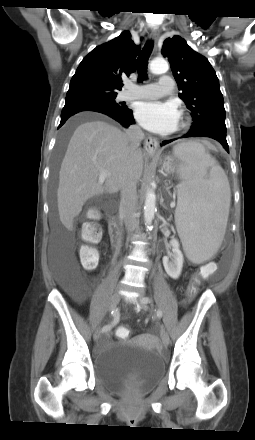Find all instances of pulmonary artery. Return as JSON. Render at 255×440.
<instances>
[{"instance_id":"1","label":"pulmonary artery","mask_w":255,"mask_h":440,"mask_svg":"<svg viewBox=\"0 0 255 440\" xmlns=\"http://www.w3.org/2000/svg\"><path fill=\"white\" fill-rule=\"evenodd\" d=\"M174 80L170 75H162L157 83L145 84L139 87H130L120 95L121 100L155 99L172 91Z\"/></svg>"}]
</instances>
